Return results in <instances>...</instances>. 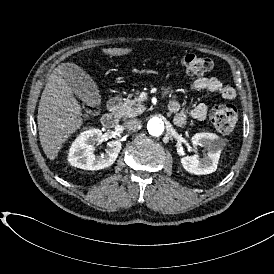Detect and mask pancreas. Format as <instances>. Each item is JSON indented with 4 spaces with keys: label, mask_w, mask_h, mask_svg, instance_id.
I'll use <instances>...</instances> for the list:
<instances>
[{
    "label": "pancreas",
    "mask_w": 274,
    "mask_h": 274,
    "mask_svg": "<svg viewBox=\"0 0 274 274\" xmlns=\"http://www.w3.org/2000/svg\"><path fill=\"white\" fill-rule=\"evenodd\" d=\"M143 111H145V108L134 94H129L127 96L126 101L122 104L120 109L121 115L124 117H136Z\"/></svg>",
    "instance_id": "1"
}]
</instances>
